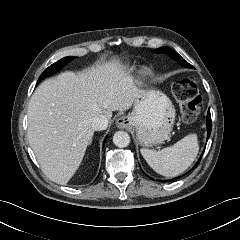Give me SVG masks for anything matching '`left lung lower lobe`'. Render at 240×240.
<instances>
[{
	"instance_id": "obj_1",
	"label": "left lung lower lobe",
	"mask_w": 240,
	"mask_h": 240,
	"mask_svg": "<svg viewBox=\"0 0 240 240\" xmlns=\"http://www.w3.org/2000/svg\"><path fill=\"white\" fill-rule=\"evenodd\" d=\"M211 129H212V123H211V115H210V110L208 111V114H207V137L209 138L210 134H211ZM201 159V158H200ZM199 159V161H200ZM199 161L197 162V164L192 168H196L199 164ZM147 176V175H146ZM150 179H152L151 177H149ZM153 180V179H152ZM165 181H169V180H164L163 182Z\"/></svg>"
}]
</instances>
